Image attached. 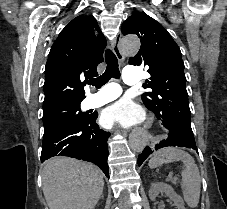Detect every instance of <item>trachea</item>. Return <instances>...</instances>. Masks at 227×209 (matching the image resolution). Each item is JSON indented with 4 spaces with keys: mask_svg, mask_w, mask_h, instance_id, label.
<instances>
[{
    "mask_svg": "<svg viewBox=\"0 0 227 209\" xmlns=\"http://www.w3.org/2000/svg\"><path fill=\"white\" fill-rule=\"evenodd\" d=\"M105 60L107 67L103 75H100V77L88 81L89 85H94L97 89L102 87V85H105L111 79V77H113V79L120 78L118 60L115 57L114 53L109 49H107L105 52Z\"/></svg>",
    "mask_w": 227,
    "mask_h": 209,
    "instance_id": "1",
    "label": "trachea"
}]
</instances>
